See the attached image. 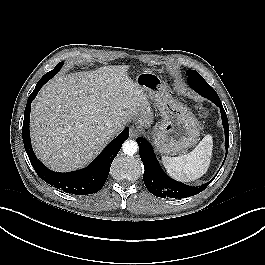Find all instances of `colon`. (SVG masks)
Returning <instances> with one entry per match:
<instances>
[{"instance_id": "colon-1", "label": "colon", "mask_w": 265, "mask_h": 265, "mask_svg": "<svg viewBox=\"0 0 265 265\" xmlns=\"http://www.w3.org/2000/svg\"><path fill=\"white\" fill-rule=\"evenodd\" d=\"M198 113L200 116H205L207 115V109L204 106L200 105L198 106Z\"/></svg>"}]
</instances>
